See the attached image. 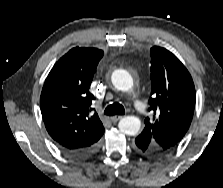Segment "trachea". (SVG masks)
<instances>
[{
	"label": "trachea",
	"mask_w": 223,
	"mask_h": 188,
	"mask_svg": "<svg viewBox=\"0 0 223 188\" xmlns=\"http://www.w3.org/2000/svg\"><path fill=\"white\" fill-rule=\"evenodd\" d=\"M104 114L109 116L124 115L125 109L122 104L115 102L106 107Z\"/></svg>",
	"instance_id": "obj_1"
}]
</instances>
